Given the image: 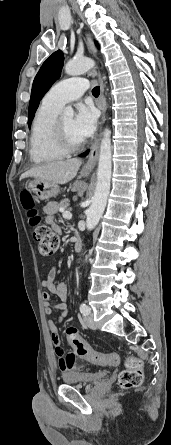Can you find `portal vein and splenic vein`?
Segmentation results:
<instances>
[{
  "mask_svg": "<svg viewBox=\"0 0 171 445\" xmlns=\"http://www.w3.org/2000/svg\"><path fill=\"white\" fill-rule=\"evenodd\" d=\"M62 212V216L65 219H71L72 218V214L69 211H64L63 209H61Z\"/></svg>",
  "mask_w": 171,
  "mask_h": 445,
  "instance_id": "portal-vein-and-splenic-vein-1",
  "label": "portal vein and splenic vein"
}]
</instances>
